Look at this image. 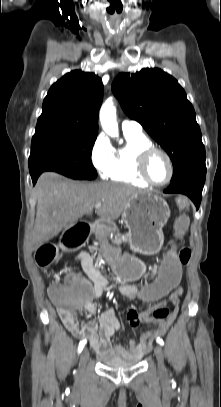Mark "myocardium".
Segmentation results:
<instances>
[{
	"label": "myocardium",
	"mask_w": 221,
	"mask_h": 407,
	"mask_svg": "<svg viewBox=\"0 0 221 407\" xmlns=\"http://www.w3.org/2000/svg\"><path fill=\"white\" fill-rule=\"evenodd\" d=\"M157 153L162 154L166 158V160L169 164V169H170L167 180L164 182H161V183L155 182L150 177L149 172H148L149 161H150L151 157ZM137 171H138V174L140 175V177L149 185L154 186V187H163V186L168 185L172 181V179L174 177V173H175V166H174L172 157L170 156V154L167 151H165L162 148L152 146V147L144 149L138 155Z\"/></svg>",
	"instance_id": "1"
}]
</instances>
